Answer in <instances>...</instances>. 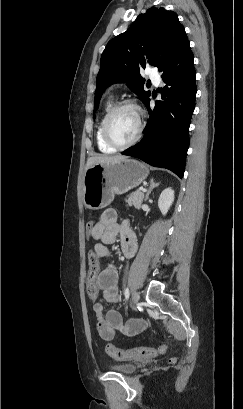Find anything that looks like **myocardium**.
Here are the masks:
<instances>
[{
	"mask_svg": "<svg viewBox=\"0 0 243 409\" xmlns=\"http://www.w3.org/2000/svg\"><path fill=\"white\" fill-rule=\"evenodd\" d=\"M124 108H131L133 109L136 114H137V118H138V131L136 133V135L129 141L121 143L116 141L110 132V123L112 121V119L114 118V116L122 109ZM144 131V119H143V114H142V110L140 108V106L131 100H124L121 101L119 103H117L116 105H114L110 111L108 112L107 116L105 117L104 123H103V138L106 141V143L108 145H110L111 147L115 148V149H123V148H127L129 146L134 145L136 142L139 141V139L141 138L142 134Z\"/></svg>",
	"mask_w": 243,
	"mask_h": 409,
	"instance_id": "myocardium-1",
	"label": "myocardium"
}]
</instances>
